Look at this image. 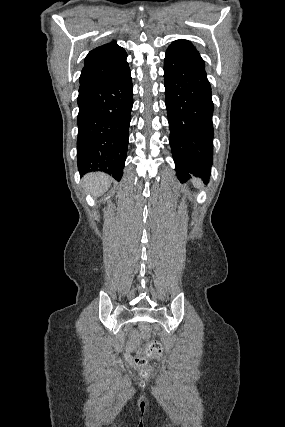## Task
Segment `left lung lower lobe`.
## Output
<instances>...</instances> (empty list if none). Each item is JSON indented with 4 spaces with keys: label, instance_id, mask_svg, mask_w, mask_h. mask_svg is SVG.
I'll use <instances>...</instances> for the list:
<instances>
[{
    "label": "left lung lower lobe",
    "instance_id": "left-lung-lower-lobe-1",
    "mask_svg": "<svg viewBox=\"0 0 285 427\" xmlns=\"http://www.w3.org/2000/svg\"><path fill=\"white\" fill-rule=\"evenodd\" d=\"M165 104L169 143L181 182L190 174L208 182L213 162L214 105L202 58L187 53H166Z\"/></svg>",
    "mask_w": 285,
    "mask_h": 427
}]
</instances>
